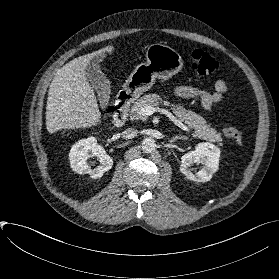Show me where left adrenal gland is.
Here are the masks:
<instances>
[{
	"mask_svg": "<svg viewBox=\"0 0 279 279\" xmlns=\"http://www.w3.org/2000/svg\"><path fill=\"white\" fill-rule=\"evenodd\" d=\"M178 139H180V140H187L188 138L185 137V136H181V135L180 136H175L173 139L170 140V143L175 142Z\"/></svg>",
	"mask_w": 279,
	"mask_h": 279,
	"instance_id": "obj_1",
	"label": "left adrenal gland"
}]
</instances>
